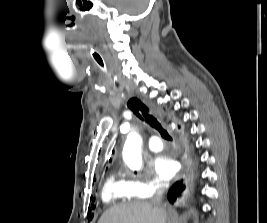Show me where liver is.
I'll use <instances>...</instances> for the list:
<instances>
[{"instance_id":"obj_1","label":"liver","mask_w":267,"mask_h":223,"mask_svg":"<svg viewBox=\"0 0 267 223\" xmlns=\"http://www.w3.org/2000/svg\"><path fill=\"white\" fill-rule=\"evenodd\" d=\"M166 216L165 207L134 201L109 208L98 223H165Z\"/></svg>"}]
</instances>
